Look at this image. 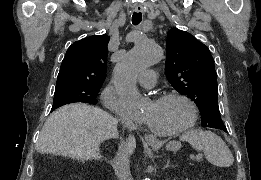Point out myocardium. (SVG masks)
I'll use <instances>...</instances> for the list:
<instances>
[{
	"label": "myocardium",
	"mask_w": 261,
	"mask_h": 180,
	"mask_svg": "<svg viewBox=\"0 0 261 180\" xmlns=\"http://www.w3.org/2000/svg\"><path fill=\"white\" fill-rule=\"evenodd\" d=\"M171 97H176V98L181 99L182 101H184L187 104V106L189 108V116H188V119H187L184 127L182 128V130L180 132L175 133V134H171V135H167V136H155V135H152L148 131L147 127L141 121L143 133L147 138L178 140V139L182 138L195 124L196 119H197V112H198L197 105H196L195 101L190 96H188L186 93H184L180 90H168V91H164L158 95H155L154 99H165V98H171Z\"/></svg>",
	"instance_id": "myocardium-1"
}]
</instances>
